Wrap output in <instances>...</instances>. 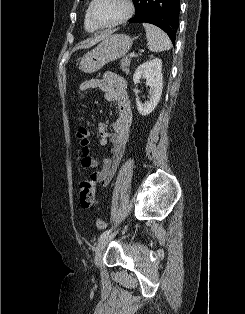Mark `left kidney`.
Listing matches in <instances>:
<instances>
[{
  "mask_svg": "<svg viewBox=\"0 0 245 314\" xmlns=\"http://www.w3.org/2000/svg\"><path fill=\"white\" fill-rule=\"evenodd\" d=\"M146 78V85L150 87V100L142 103L136 98L138 112L142 116L149 115L157 106L163 89L162 61L159 58L152 59L141 64L133 75L134 84L141 78Z\"/></svg>",
  "mask_w": 245,
  "mask_h": 314,
  "instance_id": "5707ae66",
  "label": "left kidney"
}]
</instances>
